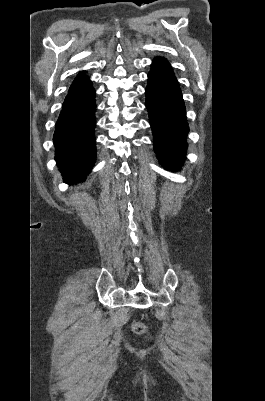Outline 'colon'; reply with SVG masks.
I'll use <instances>...</instances> for the list:
<instances>
[{"label": "colon", "instance_id": "5ec220e1", "mask_svg": "<svg viewBox=\"0 0 265 401\" xmlns=\"http://www.w3.org/2000/svg\"><path fill=\"white\" fill-rule=\"evenodd\" d=\"M132 329L137 334H143L146 332V327L144 324L140 322H134L132 325Z\"/></svg>", "mask_w": 265, "mask_h": 401}]
</instances>
